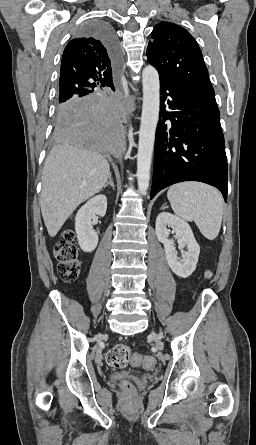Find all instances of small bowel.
I'll return each instance as SVG.
<instances>
[{
	"label": "small bowel",
	"mask_w": 256,
	"mask_h": 445,
	"mask_svg": "<svg viewBox=\"0 0 256 445\" xmlns=\"http://www.w3.org/2000/svg\"><path fill=\"white\" fill-rule=\"evenodd\" d=\"M144 367L146 368V369H151L153 366H148L146 363L144 364Z\"/></svg>",
	"instance_id": "c3829d8e"
}]
</instances>
